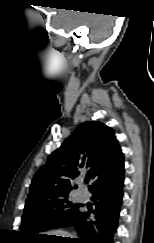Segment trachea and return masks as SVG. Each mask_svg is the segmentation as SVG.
Instances as JSON below:
<instances>
[{
    "instance_id": "1",
    "label": "trachea",
    "mask_w": 154,
    "mask_h": 243,
    "mask_svg": "<svg viewBox=\"0 0 154 243\" xmlns=\"http://www.w3.org/2000/svg\"><path fill=\"white\" fill-rule=\"evenodd\" d=\"M88 182H89V178H86V179H85V183H88Z\"/></svg>"
}]
</instances>
